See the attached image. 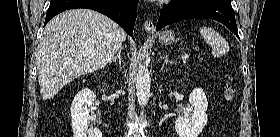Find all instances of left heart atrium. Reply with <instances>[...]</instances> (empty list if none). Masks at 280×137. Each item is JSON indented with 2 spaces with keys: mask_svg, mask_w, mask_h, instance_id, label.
<instances>
[{
  "mask_svg": "<svg viewBox=\"0 0 280 137\" xmlns=\"http://www.w3.org/2000/svg\"><path fill=\"white\" fill-rule=\"evenodd\" d=\"M167 0H158V2H166Z\"/></svg>",
  "mask_w": 280,
  "mask_h": 137,
  "instance_id": "1",
  "label": "left heart atrium"
}]
</instances>
